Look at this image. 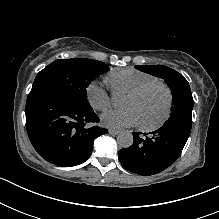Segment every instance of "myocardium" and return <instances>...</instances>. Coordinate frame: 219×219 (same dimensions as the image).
Masks as SVG:
<instances>
[{
  "label": "myocardium",
  "instance_id": "f54148a6",
  "mask_svg": "<svg viewBox=\"0 0 219 219\" xmlns=\"http://www.w3.org/2000/svg\"><path fill=\"white\" fill-rule=\"evenodd\" d=\"M154 87H162L165 89V91L167 93V98H168L167 107H166V111H165L163 118L157 124L145 125V124L139 123V128L145 132L156 131V130L162 128L166 124V122L170 118L171 111H172L173 92L168 84L161 82V81H154V82L146 83V84L138 87L137 89L127 93V96H129V97H136V96H139V95L143 94L144 92H146L147 90L154 88Z\"/></svg>",
  "mask_w": 219,
  "mask_h": 219
}]
</instances>
